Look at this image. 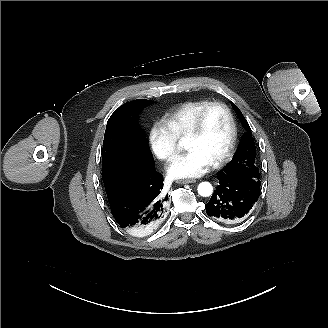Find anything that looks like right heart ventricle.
I'll return each mask as SVG.
<instances>
[{
	"mask_svg": "<svg viewBox=\"0 0 328 328\" xmlns=\"http://www.w3.org/2000/svg\"><path fill=\"white\" fill-rule=\"evenodd\" d=\"M207 100H194L186 102L168 112L160 121L168 129L176 141L184 140V137L193 124L197 114L208 104Z\"/></svg>",
	"mask_w": 328,
	"mask_h": 328,
	"instance_id": "obj_1",
	"label": "right heart ventricle"
}]
</instances>
